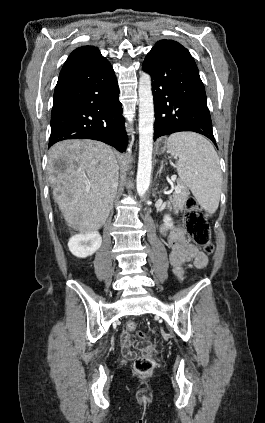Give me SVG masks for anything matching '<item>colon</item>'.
<instances>
[{
  "label": "colon",
  "instance_id": "colon-1",
  "mask_svg": "<svg viewBox=\"0 0 265 423\" xmlns=\"http://www.w3.org/2000/svg\"><path fill=\"white\" fill-rule=\"evenodd\" d=\"M186 217H185V226L189 236L192 238L193 242L201 247L207 253H212L214 246L211 242V231L208 221L206 219L205 213L200 208L196 199L193 197H188L186 199ZM137 324L134 321H129L126 324V329L128 331H135ZM138 338L146 343L145 348L150 349V345L147 344V335L142 331H137ZM155 368V363L151 358L142 356L138 357L134 362V369L139 374H149Z\"/></svg>",
  "mask_w": 265,
  "mask_h": 423
}]
</instances>
